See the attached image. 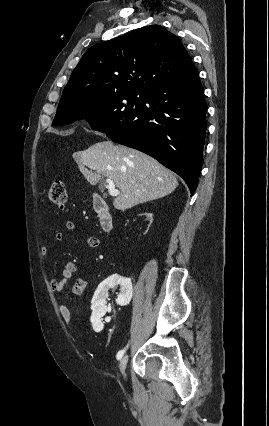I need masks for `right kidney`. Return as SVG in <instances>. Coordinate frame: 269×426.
Returning a JSON list of instances; mask_svg holds the SVG:
<instances>
[{
  "instance_id": "ca27d5eb",
  "label": "right kidney",
  "mask_w": 269,
  "mask_h": 426,
  "mask_svg": "<svg viewBox=\"0 0 269 426\" xmlns=\"http://www.w3.org/2000/svg\"><path fill=\"white\" fill-rule=\"evenodd\" d=\"M142 215L145 216L143 219L145 221L147 220V222H144L141 225L143 233L146 234L149 231L148 229L150 228V225H153L152 214H142L141 212L137 213L138 217H141ZM114 286L120 288V294L116 300L119 304V308L121 310H126L131 305V302L133 300L132 284L130 280L126 279L125 275H122L121 277L113 275L103 281L97 288L92 300L91 323L95 332H100L103 329L104 325L101 322V318L105 315L107 311L106 300L108 298V294H110L112 291L111 288Z\"/></svg>"
}]
</instances>
